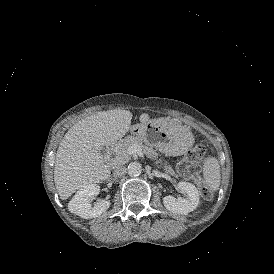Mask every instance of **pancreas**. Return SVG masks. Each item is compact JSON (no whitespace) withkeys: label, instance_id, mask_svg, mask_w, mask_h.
<instances>
[{"label":"pancreas","instance_id":"obj_1","mask_svg":"<svg viewBox=\"0 0 274 274\" xmlns=\"http://www.w3.org/2000/svg\"><path fill=\"white\" fill-rule=\"evenodd\" d=\"M132 145H138L141 148V151L148 156H152L155 154V150L148 147L143 146L142 140L138 137L127 136L124 139L120 140L115 147L112 149L114 152V157L111 159V164L113 166H121L126 164L130 159L129 147ZM171 171V169H168ZM173 174V172H171Z\"/></svg>","mask_w":274,"mask_h":274}]
</instances>
